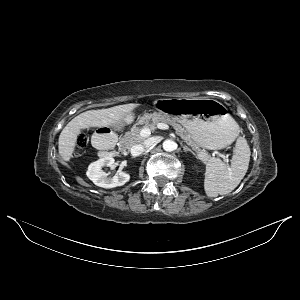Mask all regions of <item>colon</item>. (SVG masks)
<instances>
[{
	"mask_svg": "<svg viewBox=\"0 0 300 300\" xmlns=\"http://www.w3.org/2000/svg\"><path fill=\"white\" fill-rule=\"evenodd\" d=\"M87 144V137L84 134L79 135L76 143V152H79Z\"/></svg>",
	"mask_w": 300,
	"mask_h": 300,
	"instance_id": "obj_1",
	"label": "colon"
}]
</instances>
